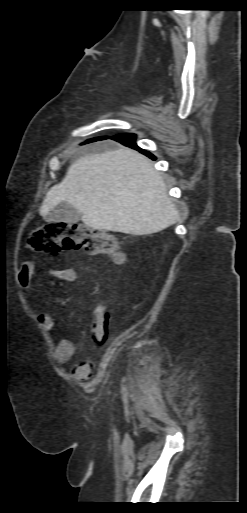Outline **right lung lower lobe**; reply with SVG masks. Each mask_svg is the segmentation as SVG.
<instances>
[{
    "label": "right lung lower lobe",
    "instance_id": "obj_1",
    "mask_svg": "<svg viewBox=\"0 0 247 513\" xmlns=\"http://www.w3.org/2000/svg\"><path fill=\"white\" fill-rule=\"evenodd\" d=\"M111 139H114L116 141H119L121 142L122 144L126 145V146H129V147H132L134 149H137L139 150L140 152L144 153L145 155H147L148 157H150L151 159H155V157L150 154L149 152H146V151H143L141 150L135 143V135L134 134H119V135H115L113 137H111ZM101 140V139H100Z\"/></svg>",
    "mask_w": 247,
    "mask_h": 513
}]
</instances>
